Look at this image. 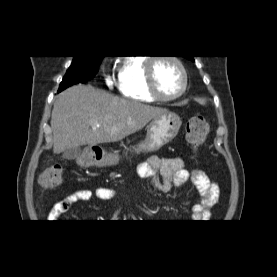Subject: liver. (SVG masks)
<instances>
[{
  "instance_id": "obj_1",
  "label": "liver",
  "mask_w": 277,
  "mask_h": 277,
  "mask_svg": "<svg viewBox=\"0 0 277 277\" xmlns=\"http://www.w3.org/2000/svg\"><path fill=\"white\" fill-rule=\"evenodd\" d=\"M167 112L115 97L90 85L70 87L58 95L52 110L53 152L120 141ZM96 125L99 127L93 129Z\"/></svg>"
}]
</instances>
